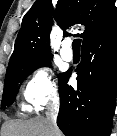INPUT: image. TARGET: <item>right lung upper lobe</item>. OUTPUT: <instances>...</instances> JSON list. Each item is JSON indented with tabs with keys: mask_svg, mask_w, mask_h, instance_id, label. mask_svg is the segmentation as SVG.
I'll list each match as a JSON object with an SVG mask.
<instances>
[{
	"mask_svg": "<svg viewBox=\"0 0 117 136\" xmlns=\"http://www.w3.org/2000/svg\"><path fill=\"white\" fill-rule=\"evenodd\" d=\"M116 0H58L56 10L51 0H36L22 19L9 65L21 60L51 57L49 34L55 18L65 29L75 24L85 26L82 44L117 24ZM8 65V66H9Z\"/></svg>",
	"mask_w": 117,
	"mask_h": 136,
	"instance_id": "obj_1",
	"label": "right lung upper lobe"
}]
</instances>
